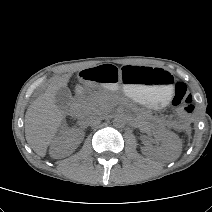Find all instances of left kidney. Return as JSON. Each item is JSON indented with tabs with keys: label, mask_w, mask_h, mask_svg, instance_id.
<instances>
[{
	"label": "left kidney",
	"mask_w": 212,
	"mask_h": 212,
	"mask_svg": "<svg viewBox=\"0 0 212 212\" xmlns=\"http://www.w3.org/2000/svg\"><path fill=\"white\" fill-rule=\"evenodd\" d=\"M154 136L162 141L158 152L164 160L173 161L179 157L181 152V141L174 132L167 129H157ZM153 151L154 149L149 146L142 148V153L147 156L151 155Z\"/></svg>",
	"instance_id": "1"
}]
</instances>
